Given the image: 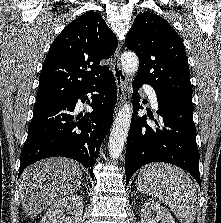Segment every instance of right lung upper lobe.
<instances>
[{
  "label": "right lung upper lobe",
  "mask_w": 221,
  "mask_h": 223,
  "mask_svg": "<svg viewBox=\"0 0 221 223\" xmlns=\"http://www.w3.org/2000/svg\"><path fill=\"white\" fill-rule=\"evenodd\" d=\"M117 48V38L97 12H86L52 43L39 78L36 107L67 98L109 72L100 66Z\"/></svg>",
  "instance_id": "right-lung-upper-lobe-1"
}]
</instances>
